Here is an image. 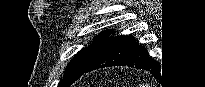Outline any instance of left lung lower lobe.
<instances>
[{
	"mask_svg": "<svg viewBox=\"0 0 205 87\" xmlns=\"http://www.w3.org/2000/svg\"><path fill=\"white\" fill-rule=\"evenodd\" d=\"M111 66H130L148 70L153 75L159 71L158 63L148 57L145 47L128 35L109 37L83 74Z\"/></svg>",
	"mask_w": 205,
	"mask_h": 87,
	"instance_id": "1",
	"label": "left lung lower lobe"
}]
</instances>
